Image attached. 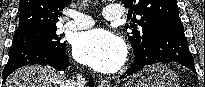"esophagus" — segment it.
Returning a JSON list of instances; mask_svg holds the SVG:
<instances>
[{"label": "esophagus", "mask_w": 205, "mask_h": 87, "mask_svg": "<svg viewBox=\"0 0 205 87\" xmlns=\"http://www.w3.org/2000/svg\"><path fill=\"white\" fill-rule=\"evenodd\" d=\"M99 86H100V87H109V86H110V81H109V79H107V78H105V79L101 78V79L99 80Z\"/></svg>", "instance_id": "obj_1"}]
</instances>
